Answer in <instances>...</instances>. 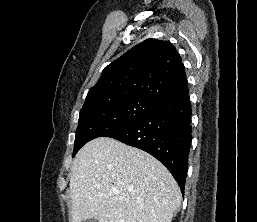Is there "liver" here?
<instances>
[{
  "mask_svg": "<svg viewBox=\"0 0 257 222\" xmlns=\"http://www.w3.org/2000/svg\"><path fill=\"white\" fill-rule=\"evenodd\" d=\"M72 222H171L182 196L156 158L109 137L96 138L71 167Z\"/></svg>",
  "mask_w": 257,
  "mask_h": 222,
  "instance_id": "liver-1",
  "label": "liver"
}]
</instances>
